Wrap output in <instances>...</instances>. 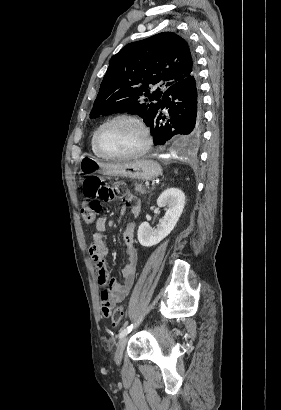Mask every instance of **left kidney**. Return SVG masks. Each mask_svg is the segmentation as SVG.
Returning <instances> with one entry per match:
<instances>
[{
    "mask_svg": "<svg viewBox=\"0 0 281 410\" xmlns=\"http://www.w3.org/2000/svg\"><path fill=\"white\" fill-rule=\"evenodd\" d=\"M157 205L166 209L164 219L157 228H152L148 222L141 223L138 228V241L144 247L158 244L171 233L183 212L185 195L178 188H168L158 197Z\"/></svg>",
    "mask_w": 281,
    "mask_h": 410,
    "instance_id": "5707ae66",
    "label": "left kidney"
}]
</instances>
